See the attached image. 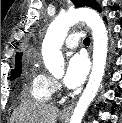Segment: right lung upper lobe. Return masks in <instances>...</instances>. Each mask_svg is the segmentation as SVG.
I'll list each match as a JSON object with an SVG mask.
<instances>
[{"instance_id":"obj_1","label":"right lung upper lobe","mask_w":122,"mask_h":123,"mask_svg":"<svg viewBox=\"0 0 122 123\" xmlns=\"http://www.w3.org/2000/svg\"><path fill=\"white\" fill-rule=\"evenodd\" d=\"M22 52H17L16 53V56H15V60H16V66H19L21 65V58H22Z\"/></svg>"}]
</instances>
